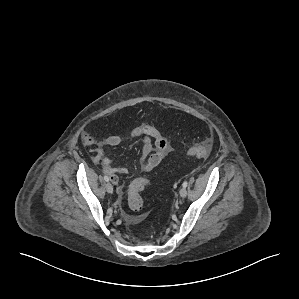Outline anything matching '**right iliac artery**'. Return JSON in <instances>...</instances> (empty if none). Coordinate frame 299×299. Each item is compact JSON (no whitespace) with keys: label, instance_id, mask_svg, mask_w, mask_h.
Returning <instances> with one entry per match:
<instances>
[{"label":"right iliac artery","instance_id":"right-iliac-artery-1","mask_svg":"<svg viewBox=\"0 0 299 299\" xmlns=\"http://www.w3.org/2000/svg\"><path fill=\"white\" fill-rule=\"evenodd\" d=\"M104 180L108 182L109 181V177L107 175H105L104 176Z\"/></svg>","mask_w":299,"mask_h":299}]
</instances>
